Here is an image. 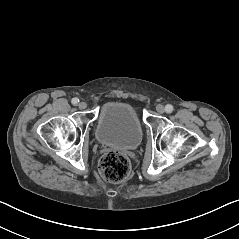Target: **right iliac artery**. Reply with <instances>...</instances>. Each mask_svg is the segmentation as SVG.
Instances as JSON below:
<instances>
[{"label": "right iliac artery", "instance_id": "82829eb1", "mask_svg": "<svg viewBox=\"0 0 239 239\" xmlns=\"http://www.w3.org/2000/svg\"><path fill=\"white\" fill-rule=\"evenodd\" d=\"M71 102H72L73 105H77L78 102H79V99L78 98H73Z\"/></svg>", "mask_w": 239, "mask_h": 239}]
</instances>
